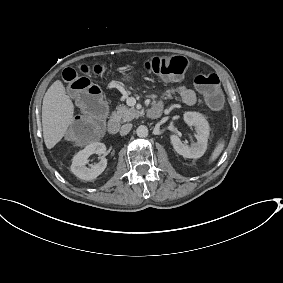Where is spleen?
<instances>
[{
    "mask_svg": "<svg viewBox=\"0 0 283 283\" xmlns=\"http://www.w3.org/2000/svg\"><path fill=\"white\" fill-rule=\"evenodd\" d=\"M226 146V141L224 138H220L214 148V150L212 151L211 156L209 157L208 160V165H211L212 163H214L218 157L221 155V153L223 152L224 148Z\"/></svg>",
    "mask_w": 283,
    "mask_h": 283,
    "instance_id": "3e777b00",
    "label": "spleen"
}]
</instances>
